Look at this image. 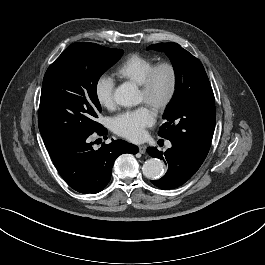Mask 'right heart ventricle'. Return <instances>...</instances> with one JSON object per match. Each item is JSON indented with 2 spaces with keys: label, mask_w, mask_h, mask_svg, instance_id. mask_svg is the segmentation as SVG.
Returning a JSON list of instances; mask_svg holds the SVG:
<instances>
[{
  "label": "right heart ventricle",
  "mask_w": 265,
  "mask_h": 265,
  "mask_svg": "<svg viewBox=\"0 0 265 265\" xmlns=\"http://www.w3.org/2000/svg\"><path fill=\"white\" fill-rule=\"evenodd\" d=\"M154 65L155 61L153 58L133 53L127 56L117 67L116 75L137 85H141L145 76Z\"/></svg>",
  "instance_id": "right-heart-ventricle-1"
}]
</instances>
